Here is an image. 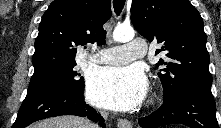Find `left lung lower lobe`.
<instances>
[{
	"instance_id": "obj_1",
	"label": "left lung lower lobe",
	"mask_w": 221,
	"mask_h": 128,
	"mask_svg": "<svg viewBox=\"0 0 221 128\" xmlns=\"http://www.w3.org/2000/svg\"><path fill=\"white\" fill-rule=\"evenodd\" d=\"M138 121L142 128L178 123L191 128H219L211 89L205 88L188 89Z\"/></svg>"
}]
</instances>
